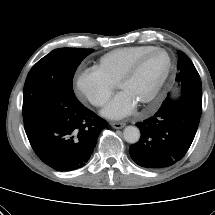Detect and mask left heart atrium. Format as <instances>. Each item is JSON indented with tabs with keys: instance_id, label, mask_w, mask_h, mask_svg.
<instances>
[{
	"instance_id": "left-heart-atrium-1",
	"label": "left heart atrium",
	"mask_w": 215,
	"mask_h": 215,
	"mask_svg": "<svg viewBox=\"0 0 215 215\" xmlns=\"http://www.w3.org/2000/svg\"><path fill=\"white\" fill-rule=\"evenodd\" d=\"M136 104L124 92H119L102 110V115L110 119H121L133 112Z\"/></svg>"
}]
</instances>
